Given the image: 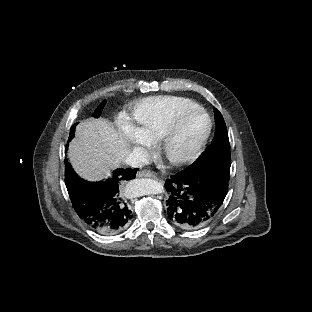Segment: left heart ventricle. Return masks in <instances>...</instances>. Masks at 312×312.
Here are the masks:
<instances>
[{"mask_svg": "<svg viewBox=\"0 0 312 312\" xmlns=\"http://www.w3.org/2000/svg\"><path fill=\"white\" fill-rule=\"evenodd\" d=\"M194 127H195L194 122H192V121L187 122L186 127L181 129V131H180L181 136L176 135L173 137V139H172L173 143L169 144V146H168L169 151H171V152L176 151V149H177L176 145H178V144H180L181 148H183V149L188 148V146L190 144H192V142H193ZM182 136L185 137V139H183Z\"/></svg>", "mask_w": 312, "mask_h": 312, "instance_id": "left-heart-ventricle-1", "label": "left heart ventricle"}]
</instances>
